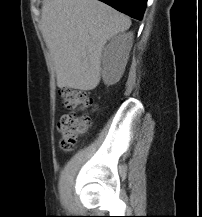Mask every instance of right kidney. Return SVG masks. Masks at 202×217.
I'll return each instance as SVG.
<instances>
[{"instance_id": "obj_1", "label": "right kidney", "mask_w": 202, "mask_h": 217, "mask_svg": "<svg viewBox=\"0 0 202 217\" xmlns=\"http://www.w3.org/2000/svg\"><path fill=\"white\" fill-rule=\"evenodd\" d=\"M133 45V33H122L112 37L102 57V78L106 85L117 83L122 77L129 52Z\"/></svg>"}]
</instances>
